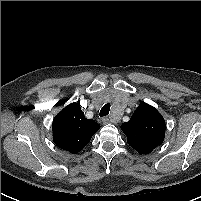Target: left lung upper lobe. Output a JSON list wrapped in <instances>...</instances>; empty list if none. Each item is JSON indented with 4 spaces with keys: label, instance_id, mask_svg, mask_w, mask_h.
I'll return each instance as SVG.
<instances>
[{
    "label": "left lung upper lobe",
    "instance_id": "1",
    "mask_svg": "<svg viewBox=\"0 0 201 201\" xmlns=\"http://www.w3.org/2000/svg\"><path fill=\"white\" fill-rule=\"evenodd\" d=\"M121 129L133 149L139 154H148L163 142L166 124L154 107L142 102Z\"/></svg>",
    "mask_w": 201,
    "mask_h": 201
}]
</instances>
